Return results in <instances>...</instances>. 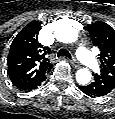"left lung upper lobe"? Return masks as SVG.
<instances>
[{
	"mask_svg": "<svg viewBox=\"0 0 115 119\" xmlns=\"http://www.w3.org/2000/svg\"><path fill=\"white\" fill-rule=\"evenodd\" d=\"M93 44L100 49V74L115 81V30L105 22L88 25Z\"/></svg>",
	"mask_w": 115,
	"mask_h": 119,
	"instance_id": "5c2ea615",
	"label": "left lung upper lobe"
}]
</instances>
